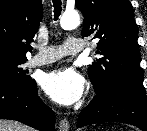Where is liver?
Instances as JSON below:
<instances>
[{
	"instance_id": "6515ba94",
	"label": "liver",
	"mask_w": 147,
	"mask_h": 131,
	"mask_svg": "<svg viewBox=\"0 0 147 131\" xmlns=\"http://www.w3.org/2000/svg\"><path fill=\"white\" fill-rule=\"evenodd\" d=\"M0 131H33L17 121L0 120Z\"/></svg>"
}]
</instances>
